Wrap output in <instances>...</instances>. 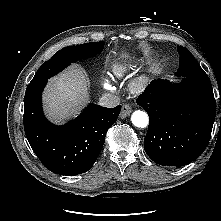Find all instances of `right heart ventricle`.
Wrapping results in <instances>:
<instances>
[{
	"instance_id": "e07e8e85",
	"label": "right heart ventricle",
	"mask_w": 221,
	"mask_h": 221,
	"mask_svg": "<svg viewBox=\"0 0 221 221\" xmlns=\"http://www.w3.org/2000/svg\"><path fill=\"white\" fill-rule=\"evenodd\" d=\"M123 70H124V69H123L121 66H116V67L113 68V73H114L116 76L120 77V76H122V74H123Z\"/></svg>"
}]
</instances>
